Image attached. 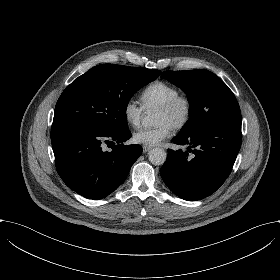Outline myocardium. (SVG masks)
Instances as JSON below:
<instances>
[{
    "label": "myocardium",
    "instance_id": "myocardium-1",
    "mask_svg": "<svg viewBox=\"0 0 280 280\" xmlns=\"http://www.w3.org/2000/svg\"><path fill=\"white\" fill-rule=\"evenodd\" d=\"M179 107L183 108V115L174 124V128L182 129L188 126L194 115V103L191 97L185 94H179L176 97L160 104L159 109L172 111Z\"/></svg>",
    "mask_w": 280,
    "mask_h": 280
}]
</instances>
